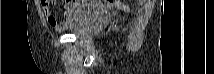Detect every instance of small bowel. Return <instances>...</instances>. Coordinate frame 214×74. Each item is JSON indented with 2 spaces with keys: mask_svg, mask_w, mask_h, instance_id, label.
<instances>
[{
  "mask_svg": "<svg viewBox=\"0 0 214 74\" xmlns=\"http://www.w3.org/2000/svg\"><path fill=\"white\" fill-rule=\"evenodd\" d=\"M50 1H41V6L43 9V13L47 19L48 24L55 31H63L69 19L71 18V14L73 9L75 8V4L72 2H66L63 5V15L61 19L56 18L49 11Z\"/></svg>",
  "mask_w": 214,
  "mask_h": 74,
  "instance_id": "c3829d8e",
  "label": "small bowel"
}]
</instances>
